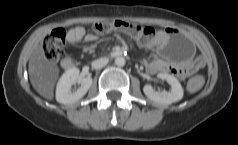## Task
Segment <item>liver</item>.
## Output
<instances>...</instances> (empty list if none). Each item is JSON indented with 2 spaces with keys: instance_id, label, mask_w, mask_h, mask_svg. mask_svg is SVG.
I'll return each mask as SVG.
<instances>
[{
  "instance_id": "6515ba94",
  "label": "liver",
  "mask_w": 238,
  "mask_h": 145,
  "mask_svg": "<svg viewBox=\"0 0 238 145\" xmlns=\"http://www.w3.org/2000/svg\"><path fill=\"white\" fill-rule=\"evenodd\" d=\"M33 88L44 98L53 100L54 87L59 76L57 65L46 58L42 45H36L28 64Z\"/></svg>"
}]
</instances>
